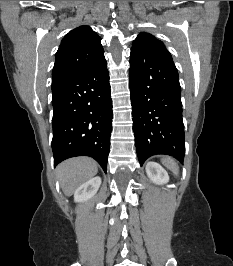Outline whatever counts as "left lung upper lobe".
Wrapping results in <instances>:
<instances>
[{"label": "left lung upper lobe", "instance_id": "5c2ea615", "mask_svg": "<svg viewBox=\"0 0 233 266\" xmlns=\"http://www.w3.org/2000/svg\"><path fill=\"white\" fill-rule=\"evenodd\" d=\"M133 47H152L161 48L166 50L163 42L157 40L153 35L149 33H140L134 40Z\"/></svg>", "mask_w": 233, "mask_h": 266}]
</instances>
